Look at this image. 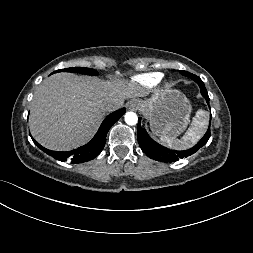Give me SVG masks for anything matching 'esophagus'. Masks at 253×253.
Wrapping results in <instances>:
<instances>
[{
  "label": "esophagus",
  "mask_w": 253,
  "mask_h": 253,
  "mask_svg": "<svg viewBox=\"0 0 253 253\" xmlns=\"http://www.w3.org/2000/svg\"><path fill=\"white\" fill-rule=\"evenodd\" d=\"M128 108L133 111L138 110L140 108V102L137 100H132L129 102Z\"/></svg>",
  "instance_id": "esophagus-1"
}]
</instances>
